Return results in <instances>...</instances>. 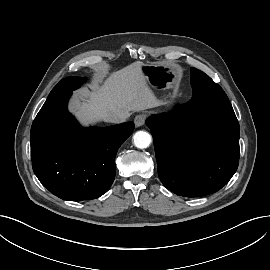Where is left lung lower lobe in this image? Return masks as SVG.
Masks as SVG:
<instances>
[{
    "mask_svg": "<svg viewBox=\"0 0 270 270\" xmlns=\"http://www.w3.org/2000/svg\"><path fill=\"white\" fill-rule=\"evenodd\" d=\"M198 92L169 113L153 115L158 175L179 196L200 197L219 191L238 168L239 123L232 106L203 107Z\"/></svg>",
    "mask_w": 270,
    "mask_h": 270,
    "instance_id": "left-lung-lower-lobe-1",
    "label": "left lung lower lobe"
}]
</instances>
